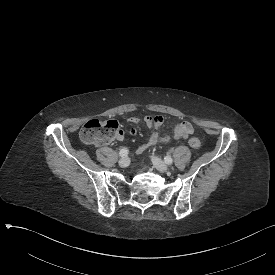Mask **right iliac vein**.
<instances>
[{
  "mask_svg": "<svg viewBox=\"0 0 275 275\" xmlns=\"http://www.w3.org/2000/svg\"><path fill=\"white\" fill-rule=\"evenodd\" d=\"M119 166L122 168H125L127 166H129L130 164V159L128 157H123L119 160Z\"/></svg>",
  "mask_w": 275,
  "mask_h": 275,
  "instance_id": "1",
  "label": "right iliac vein"
}]
</instances>
